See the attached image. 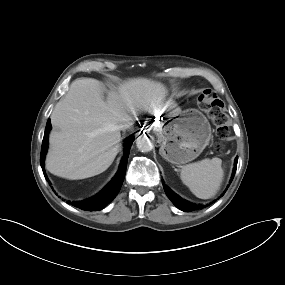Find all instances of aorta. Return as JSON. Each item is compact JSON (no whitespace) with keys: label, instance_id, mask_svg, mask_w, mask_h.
Here are the masks:
<instances>
[{"label":"aorta","instance_id":"762f6f07","mask_svg":"<svg viewBox=\"0 0 285 285\" xmlns=\"http://www.w3.org/2000/svg\"><path fill=\"white\" fill-rule=\"evenodd\" d=\"M136 145L141 152H149L154 147L152 139L147 135L139 136L136 140Z\"/></svg>","mask_w":285,"mask_h":285}]
</instances>
